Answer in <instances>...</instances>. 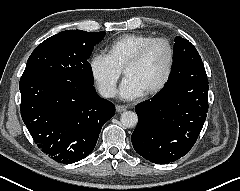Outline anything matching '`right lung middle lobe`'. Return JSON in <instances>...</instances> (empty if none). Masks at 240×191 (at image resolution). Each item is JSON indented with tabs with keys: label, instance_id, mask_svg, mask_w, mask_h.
Listing matches in <instances>:
<instances>
[{
	"label": "right lung middle lobe",
	"instance_id": "right-lung-middle-lobe-1",
	"mask_svg": "<svg viewBox=\"0 0 240 191\" xmlns=\"http://www.w3.org/2000/svg\"><path fill=\"white\" fill-rule=\"evenodd\" d=\"M105 32L66 30L40 43L30 55L22 77L54 76L83 86H93L87 59Z\"/></svg>",
	"mask_w": 240,
	"mask_h": 191
}]
</instances>
